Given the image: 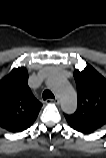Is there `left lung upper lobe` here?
I'll list each match as a JSON object with an SVG mask.
<instances>
[{
  "label": "left lung upper lobe",
  "instance_id": "left-lung-upper-lobe-1",
  "mask_svg": "<svg viewBox=\"0 0 106 158\" xmlns=\"http://www.w3.org/2000/svg\"><path fill=\"white\" fill-rule=\"evenodd\" d=\"M77 110L65 115L69 126L78 132L90 134L106 125V79L92 66L76 70Z\"/></svg>",
  "mask_w": 106,
  "mask_h": 158
}]
</instances>
